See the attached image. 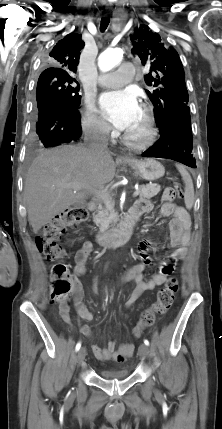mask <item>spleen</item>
<instances>
[{"label": "spleen", "mask_w": 222, "mask_h": 429, "mask_svg": "<svg viewBox=\"0 0 222 429\" xmlns=\"http://www.w3.org/2000/svg\"><path fill=\"white\" fill-rule=\"evenodd\" d=\"M176 168L182 176L184 182V201L187 209H191L194 203V186L192 178L186 168L181 164H176Z\"/></svg>", "instance_id": "3e777b00"}]
</instances>
